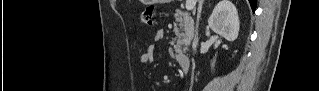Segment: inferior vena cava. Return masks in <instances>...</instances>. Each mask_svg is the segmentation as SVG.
<instances>
[{
  "instance_id": "602c4592",
  "label": "inferior vena cava",
  "mask_w": 319,
  "mask_h": 91,
  "mask_svg": "<svg viewBox=\"0 0 319 91\" xmlns=\"http://www.w3.org/2000/svg\"><path fill=\"white\" fill-rule=\"evenodd\" d=\"M202 4H203V0H199V6H198V14H197V24H196V30H195V38L193 40L192 43V48L194 51H196L197 45H198V20L201 14V10H202Z\"/></svg>"
}]
</instances>
